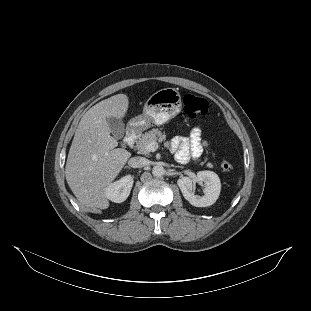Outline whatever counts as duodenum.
Wrapping results in <instances>:
<instances>
[{
    "label": "duodenum",
    "mask_w": 311,
    "mask_h": 311,
    "mask_svg": "<svg viewBox=\"0 0 311 311\" xmlns=\"http://www.w3.org/2000/svg\"><path fill=\"white\" fill-rule=\"evenodd\" d=\"M139 136V130L135 127H131L127 130L124 137V144L127 147H132Z\"/></svg>",
    "instance_id": "1"
}]
</instances>
